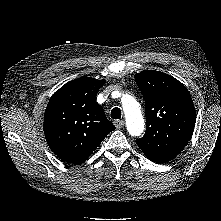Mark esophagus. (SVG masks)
I'll list each match as a JSON object with an SVG mask.
<instances>
[{"label": "esophagus", "mask_w": 221, "mask_h": 221, "mask_svg": "<svg viewBox=\"0 0 221 221\" xmlns=\"http://www.w3.org/2000/svg\"><path fill=\"white\" fill-rule=\"evenodd\" d=\"M125 122L123 120H115L114 125L116 128H122L124 126Z\"/></svg>", "instance_id": "obj_1"}]
</instances>
